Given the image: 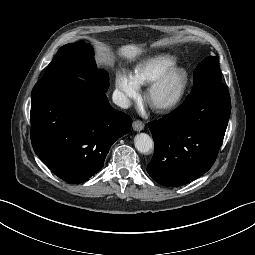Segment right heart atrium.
<instances>
[{
	"label": "right heart atrium",
	"instance_id": "1",
	"mask_svg": "<svg viewBox=\"0 0 255 255\" xmlns=\"http://www.w3.org/2000/svg\"><path fill=\"white\" fill-rule=\"evenodd\" d=\"M115 84L123 104H128L130 100L138 96L139 84L133 74L125 70H119L116 74Z\"/></svg>",
	"mask_w": 255,
	"mask_h": 255
}]
</instances>
